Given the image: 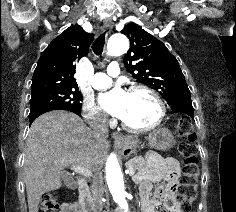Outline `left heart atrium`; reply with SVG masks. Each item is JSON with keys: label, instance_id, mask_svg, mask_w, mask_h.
Here are the masks:
<instances>
[{"label": "left heart atrium", "instance_id": "left-heart-atrium-1", "mask_svg": "<svg viewBox=\"0 0 236 212\" xmlns=\"http://www.w3.org/2000/svg\"><path fill=\"white\" fill-rule=\"evenodd\" d=\"M128 93L120 87L102 94L99 98L102 108L109 114L122 118L126 112Z\"/></svg>", "mask_w": 236, "mask_h": 212}]
</instances>
